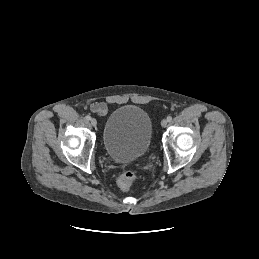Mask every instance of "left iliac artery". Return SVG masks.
Returning <instances> with one entry per match:
<instances>
[{"mask_svg": "<svg viewBox=\"0 0 259 259\" xmlns=\"http://www.w3.org/2000/svg\"><path fill=\"white\" fill-rule=\"evenodd\" d=\"M172 120V117L171 116H168L167 117V121L170 122Z\"/></svg>", "mask_w": 259, "mask_h": 259, "instance_id": "obj_1", "label": "left iliac artery"}]
</instances>
